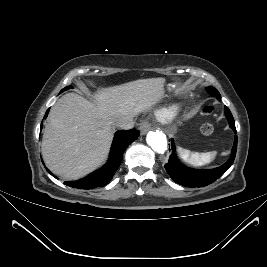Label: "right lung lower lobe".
<instances>
[{
    "mask_svg": "<svg viewBox=\"0 0 267 267\" xmlns=\"http://www.w3.org/2000/svg\"><path fill=\"white\" fill-rule=\"evenodd\" d=\"M48 111L44 118L48 115ZM139 134V131L135 129L117 131L114 136L110 158L107 164L85 178L77 181H66L64 184L78 189H94L108 184L121 164L125 148L136 140ZM47 171L50 173L49 170Z\"/></svg>",
    "mask_w": 267,
    "mask_h": 267,
    "instance_id": "1",
    "label": "right lung lower lobe"
}]
</instances>
